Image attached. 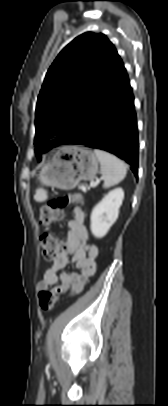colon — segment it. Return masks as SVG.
<instances>
[{
	"label": "colon",
	"instance_id": "5ec220e1",
	"mask_svg": "<svg viewBox=\"0 0 168 406\" xmlns=\"http://www.w3.org/2000/svg\"><path fill=\"white\" fill-rule=\"evenodd\" d=\"M82 196L78 194H65L55 199L50 200L47 204L43 205L40 209L39 220L44 225H51L61 220L63 216V209L80 203ZM43 257L47 260L53 259L59 252L58 240L49 234L41 237ZM59 299L58 294L48 290L40 291L38 295V303L40 308L45 311L54 309Z\"/></svg>",
	"mask_w": 168,
	"mask_h": 406
}]
</instances>
